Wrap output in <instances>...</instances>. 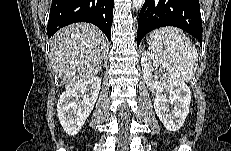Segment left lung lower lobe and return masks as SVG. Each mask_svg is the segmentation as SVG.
Wrapping results in <instances>:
<instances>
[{
	"instance_id": "left-lung-lower-lobe-1",
	"label": "left lung lower lobe",
	"mask_w": 231,
	"mask_h": 151,
	"mask_svg": "<svg viewBox=\"0 0 231 151\" xmlns=\"http://www.w3.org/2000/svg\"><path fill=\"white\" fill-rule=\"evenodd\" d=\"M178 27L202 44V21L199 0H146L139 15L137 46L150 31Z\"/></svg>"
}]
</instances>
